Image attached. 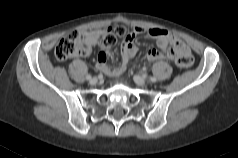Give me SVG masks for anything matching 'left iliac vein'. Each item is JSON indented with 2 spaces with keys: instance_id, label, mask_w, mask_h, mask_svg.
<instances>
[{
  "instance_id": "obj_1",
  "label": "left iliac vein",
  "mask_w": 238,
  "mask_h": 158,
  "mask_svg": "<svg viewBox=\"0 0 238 158\" xmlns=\"http://www.w3.org/2000/svg\"><path fill=\"white\" fill-rule=\"evenodd\" d=\"M134 81L139 86H144L146 84V80L144 78H142L141 76H138V75L134 76Z\"/></svg>"
}]
</instances>
